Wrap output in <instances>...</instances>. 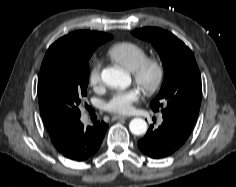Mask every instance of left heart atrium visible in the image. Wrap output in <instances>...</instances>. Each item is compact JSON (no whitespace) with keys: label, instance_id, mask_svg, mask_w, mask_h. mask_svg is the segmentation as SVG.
<instances>
[{"label":"left heart atrium","instance_id":"left-heart-atrium-1","mask_svg":"<svg viewBox=\"0 0 236 187\" xmlns=\"http://www.w3.org/2000/svg\"><path fill=\"white\" fill-rule=\"evenodd\" d=\"M140 97V90L131 88L128 90L117 91L106 104L109 112L114 114H128L132 110V104Z\"/></svg>","mask_w":236,"mask_h":187}]
</instances>
